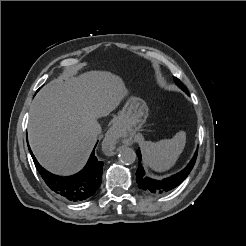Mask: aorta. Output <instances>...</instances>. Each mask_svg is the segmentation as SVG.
Masks as SVG:
<instances>
[{"label": "aorta", "instance_id": "obj_1", "mask_svg": "<svg viewBox=\"0 0 246 246\" xmlns=\"http://www.w3.org/2000/svg\"><path fill=\"white\" fill-rule=\"evenodd\" d=\"M118 156L120 162L126 165L133 164L137 157L135 151L129 147H122Z\"/></svg>", "mask_w": 246, "mask_h": 246}]
</instances>
